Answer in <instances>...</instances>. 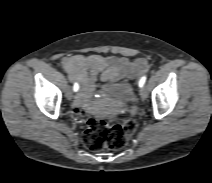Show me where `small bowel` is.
Returning <instances> with one entry per match:
<instances>
[{
	"mask_svg": "<svg viewBox=\"0 0 212 183\" xmlns=\"http://www.w3.org/2000/svg\"><path fill=\"white\" fill-rule=\"evenodd\" d=\"M62 67L80 83L73 102L75 108H80L88 103L98 76L102 82L135 80L149 70V63L141 57L130 60L117 55L78 54L63 58Z\"/></svg>",
	"mask_w": 212,
	"mask_h": 183,
	"instance_id": "small-bowel-1",
	"label": "small bowel"
}]
</instances>
